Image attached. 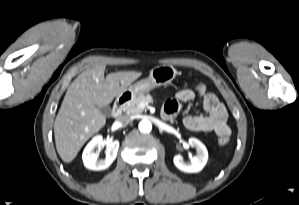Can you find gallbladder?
<instances>
[{"mask_svg": "<svg viewBox=\"0 0 299 205\" xmlns=\"http://www.w3.org/2000/svg\"><path fill=\"white\" fill-rule=\"evenodd\" d=\"M99 110L105 115V116H110L112 113V110L109 106L105 107H100Z\"/></svg>", "mask_w": 299, "mask_h": 205, "instance_id": "bac80fb5", "label": "gallbladder"}]
</instances>
